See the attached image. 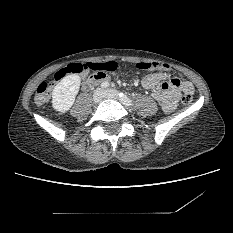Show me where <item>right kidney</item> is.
<instances>
[{"instance_id": "ca27d5eb", "label": "right kidney", "mask_w": 233, "mask_h": 233, "mask_svg": "<svg viewBox=\"0 0 233 233\" xmlns=\"http://www.w3.org/2000/svg\"><path fill=\"white\" fill-rule=\"evenodd\" d=\"M81 78L77 74L66 75L54 87L52 92V107L54 110L65 113L73 105L79 92Z\"/></svg>"}]
</instances>
